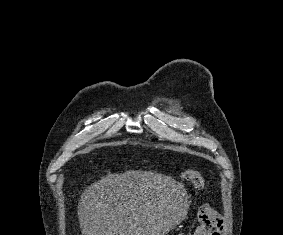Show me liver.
<instances>
[{"mask_svg":"<svg viewBox=\"0 0 283 235\" xmlns=\"http://www.w3.org/2000/svg\"><path fill=\"white\" fill-rule=\"evenodd\" d=\"M183 184L151 171L108 173L78 204L82 235H164L181 220Z\"/></svg>","mask_w":283,"mask_h":235,"instance_id":"6515ba94","label":"liver"}]
</instances>
